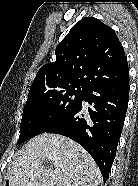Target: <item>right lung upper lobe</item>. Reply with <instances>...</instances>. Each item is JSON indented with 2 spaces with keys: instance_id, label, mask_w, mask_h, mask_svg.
Instances as JSON below:
<instances>
[{
  "instance_id": "1",
  "label": "right lung upper lobe",
  "mask_w": 138,
  "mask_h": 186,
  "mask_svg": "<svg viewBox=\"0 0 138 186\" xmlns=\"http://www.w3.org/2000/svg\"><path fill=\"white\" fill-rule=\"evenodd\" d=\"M56 61L38 71L29 93L69 85L118 84L129 79L127 59L115 31L94 17L77 22L56 47Z\"/></svg>"
}]
</instances>
